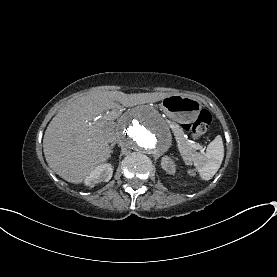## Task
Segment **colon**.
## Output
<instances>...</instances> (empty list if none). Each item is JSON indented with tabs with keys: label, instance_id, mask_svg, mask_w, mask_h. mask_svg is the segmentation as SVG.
<instances>
[{
	"label": "colon",
	"instance_id": "1",
	"mask_svg": "<svg viewBox=\"0 0 277 277\" xmlns=\"http://www.w3.org/2000/svg\"><path fill=\"white\" fill-rule=\"evenodd\" d=\"M211 123L210 113L202 109L198 113V120L194 123H184L183 128L187 131H191L193 134H202L206 131Z\"/></svg>",
	"mask_w": 277,
	"mask_h": 277
}]
</instances>
